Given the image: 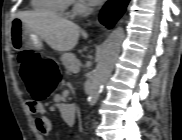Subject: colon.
<instances>
[{"instance_id":"obj_1","label":"colon","mask_w":182,"mask_h":140,"mask_svg":"<svg viewBox=\"0 0 182 140\" xmlns=\"http://www.w3.org/2000/svg\"><path fill=\"white\" fill-rule=\"evenodd\" d=\"M21 76L32 100L40 102L54 91L60 72L52 59L44 58L36 52L24 51L19 56Z\"/></svg>"}]
</instances>
